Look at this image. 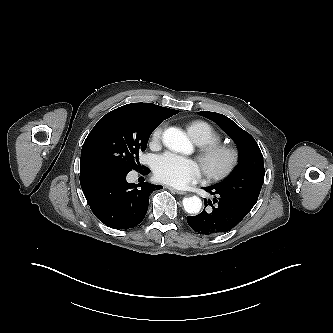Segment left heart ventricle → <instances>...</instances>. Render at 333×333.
I'll return each mask as SVG.
<instances>
[{"label":"left heart ventricle","mask_w":333,"mask_h":333,"mask_svg":"<svg viewBox=\"0 0 333 333\" xmlns=\"http://www.w3.org/2000/svg\"><path fill=\"white\" fill-rule=\"evenodd\" d=\"M222 162H223V159H219V160L216 162V164L219 165V164H221Z\"/></svg>","instance_id":"b2bd125f"}]
</instances>
